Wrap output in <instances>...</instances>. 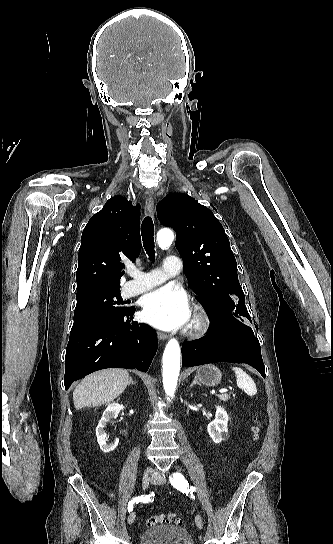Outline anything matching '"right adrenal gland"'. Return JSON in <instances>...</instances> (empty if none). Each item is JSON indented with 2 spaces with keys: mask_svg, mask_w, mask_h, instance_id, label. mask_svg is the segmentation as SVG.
Listing matches in <instances>:
<instances>
[{
  "mask_svg": "<svg viewBox=\"0 0 333 544\" xmlns=\"http://www.w3.org/2000/svg\"><path fill=\"white\" fill-rule=\"evenodd\" d=\"M130 384H133V385H136V382L133 381V379L130 377V381H129V385Z\"/></svg>",
  "mask_w": 333,
  "mask_h": 544,
  "instance_id": "2a0ac1e0",
  "label": "right adrenal gland"
}]
</instances>
